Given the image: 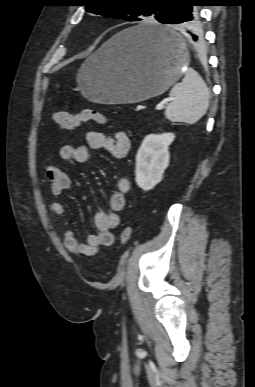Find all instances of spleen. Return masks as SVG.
Wrapping results in <instances>:
<instances>
[{
    "mask_svg": "<svg viewBox=\"0 0 255 387\" xmlns=\"http://www.w3.org/2000/svg\"><path fill=\"white\" fill-rule=\"evenodd\" d=\"M169 95L173 101L167 105L165 116L172 122L192 125L206 114L209 107V89L192 68H187L184 79L173 86Z\"/></svg>",
    "mask_w": 255,
    "mask_h": 387,
    "instance_id": "3e777b00",
    "label": "spleen"
}]
</instances>
